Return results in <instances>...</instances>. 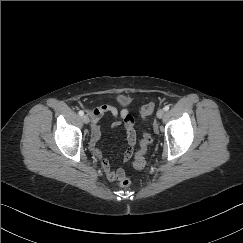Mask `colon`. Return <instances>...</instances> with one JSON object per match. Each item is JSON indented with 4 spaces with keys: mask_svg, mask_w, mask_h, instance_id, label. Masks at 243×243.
<instances>
[{
    "mask_svg": "<svg viewBox=\"0 0 243 243\" xmlns=\"http://www.w3.org/2000/svg\"><path fill=\"white\" fill-rule=\"evenodd\" d=\"M155 108V104L153 102H149L145 104L141 109V115L144 119L152 113ZM152 142L151 135L144 131L139 143V149L135 154V159L133 161V167L136 169H141L145 166V156L148 150L149 145ZM119 186L122 188H128L131 185V179L129 177H122L118 182Z\"/></svg>",
    "mask_w": 243,
    "mask_h": 243,
    "instance_id": "5ec220e1",
    "label": "colon"
}]
</instances>
